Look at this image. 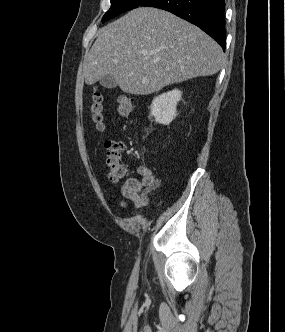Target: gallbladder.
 Masks as SVG:
<instances>
[{
	"mask_svg": "<svg viewBox=\"0 0 285 332\" xmlns=\"http://www.w3.org/2000/svg\"><path fill=\"white\" fill-rule=\"evenodd\" d=\"M100 84L107 89H113L117 86V82L112 75H105L102 77L100 79Z\"/></svg>",
	"mask_w": 285,
	"mask_h": 332,
	"instance_id": "1",
	"label": "gallbladder"
}]
</instances>
